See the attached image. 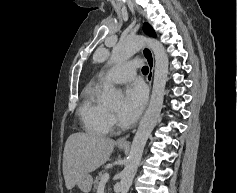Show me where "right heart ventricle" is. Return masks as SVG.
I'll use <instances>...</instances> for the list:
<instances>
[{"instance_id":"obj_1","label":"right heart ventricle","mask_w":237,"mask_h":193,"mask_svg":"<svg viewBox=\"0 0 237 193\" xmlns=\"http://www.w3.org/2000/svg\"><path fill=\"white\" fill-rule=\"evenodd\" d=\"M101 86V83L97 82L89 83L84 87L78 110L84 129L95 135H106L112 128L108 109L99 99Z\"/></svg>"}]
</instances>
